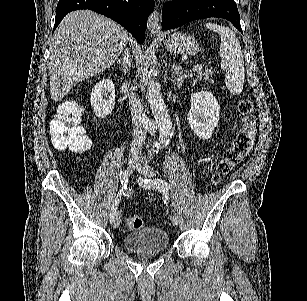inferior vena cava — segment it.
<instances>
[{
  "label": "inferior vena cava",
  "instance_id": "obj_1",
  "mask_svg": "<svg viewBox=\"0 0 307 301\" xmlns=\"http://www.w3.org/2000/svg\"><path fill=\"white\" fill-rule=\"evenodd\" d=\"M126 84H129V80H126ZM129 106L131 108L132 118V140L129 155H138L143 148V142L146 138V124L148 122L147 114H145L142 106V102L135 92H129Z\"/></svg>",
  "mask_w": 307,
  "mask_h": 301
}]
</instances>
